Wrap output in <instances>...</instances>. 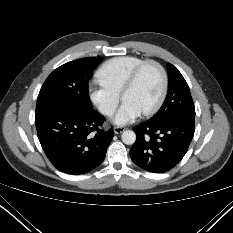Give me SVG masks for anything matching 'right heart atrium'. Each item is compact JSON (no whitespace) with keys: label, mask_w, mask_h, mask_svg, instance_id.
Here are the masks:
<instances>
[{"label":"right heart atrium","mask_w":233,"mask_h":233,"mask_svg":"<svg viewBox=\"0 0 233 233\" xmlns=\"http://www.w3.org/2000/svg\"><path fill=\"white\" fill-rule=\"evenodd\" d=\"M89 97L99 112L107 117L114 114L120 101V95L99 80L90 84Z\"/></svg>","instance_id":"obj_1"}]
</instances>
